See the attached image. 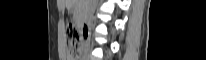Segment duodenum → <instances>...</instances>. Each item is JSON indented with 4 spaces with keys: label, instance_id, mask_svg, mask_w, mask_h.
Listing matches in <instances>:
<instances>
[{
    "label": "duodenum",
    "instance_id": "1",
    "mask_svg": "<svg viewBox=\"0 0 206 60\" xmlns=\"http://www.w3.org/2000/svg\"><path fill=\"white\" fill-rule=\"evenodd\" d=\"M84 36H87L89 33L90 25L88 23H84L81 27Z\"/></svg>",
    "mask_w": 206,
    "mask_h": 60
}]
</instances>
